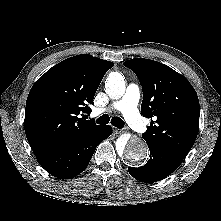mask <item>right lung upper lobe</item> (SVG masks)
I'll use <instances>...</instances> for the list:
<instances>
[{"label": "right lung upper lobe", "instance_id": "1", "mask_svg": "<svg viewBox=\"0 0 221 221\" xmlns=\"http://www.w3.org/2000/svg\"><path fill=\"white\" fill-rule=\"evenodd\" d=\"M110 61L88 54L68 58L32 86L25 109V133L35 156L82 138L101 126L85 120Z\"/></svg>", "mask_w": 221, "mask_h": 221}]
</instances>
